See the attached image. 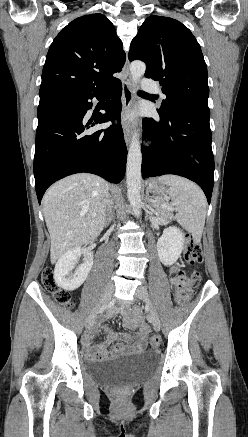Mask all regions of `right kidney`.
<instances>
[{
    "label": "right kidney",
    "mask_w": 248,
    "mask_h": 437,
    "mask_svg": "<svg viewBox=\"0 0 248 437\" xmlns=\"http://www.w3.org/2000/svg\"><path fill=\"white\" fill-rule=\"evenodd\" d=\"M82 254L85 257V261L73 272L76 262ZM92 266L93 252L83 250L81 247L73 248L63 254L56 263L54 280L56 284L64 290L74 291L84 283Z\"/></svg>",
    "instance_id": "obj_1"
}]
</instances>
